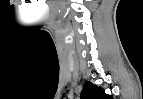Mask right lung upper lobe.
I'll return each instance as SVG.
<instances>
[{"label":"right lung upper lobe","instance_id":"1","mask_svg":"<svg viewBox=\"0 0 143 99\" xmlns=\"http://www.w3.org/2000/svg\"><path fill=\"white\" fill-rule=\"evenodd\" d=\"M81 99H112V96L105 94L102 88L91 82H86L81 92Z\"/></svg>","mask_w":143,"mask_h":99}]
</instances>
